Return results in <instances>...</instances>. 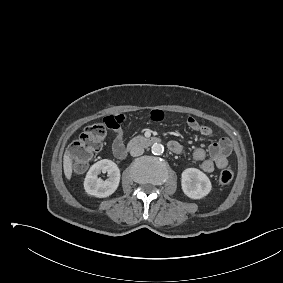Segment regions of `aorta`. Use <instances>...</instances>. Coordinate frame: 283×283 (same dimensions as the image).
Returning a JSON list of instances; mask_svg holds the SVG:
<instances>
[{
    "mask_svg": "<svg viewBox=\"0 0 283 283\" xmlns=\"http://www.w3.org/2000/svg\"><path fill=\"white\" fill-rule=\"evenodd\" d=\"M151 151L154 155H162L164 152V146L160 143H154L151 147Z\"/></svg>",
    "mask_w": 283,
    "mask_h": 283,
    "instance_id": "aorta-1",
    "label": "aorta"
}]
</instances>
